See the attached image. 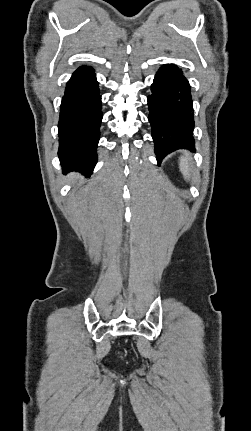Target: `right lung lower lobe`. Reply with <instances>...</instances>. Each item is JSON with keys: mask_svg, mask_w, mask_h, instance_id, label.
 Returning <instances> with one entry per match:
<instances>
[{"mask_svg": "<svg viewBox=\"0 0 251 431\" xmlns=\"http://www.w3.org/2000/svg\"><path fill=\"white\" fill-rule=\"evenodd\" d=\"M101 120L94 70L81 66L67 82L60 106L58 155L63 172L78 171L90 177L97 162Z\"/></svg>", "mask_w": 251, "mask_h": 431, "instance_id": "1", "label": "right lung lower lobe"}]
</instances>
